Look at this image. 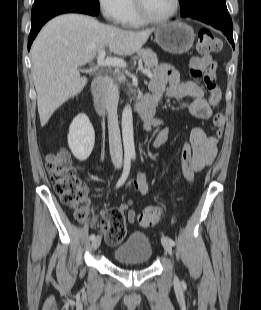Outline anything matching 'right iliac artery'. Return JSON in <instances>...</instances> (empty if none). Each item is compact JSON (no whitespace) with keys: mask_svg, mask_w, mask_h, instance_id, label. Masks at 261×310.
<instances>
[{"mask_svg":"<svg viewBox=\"0 0 261 310\" xmlns=\"http://www.w3.org/2000/svg\"><path fill=\"white\" fill-rule=\"evenodd\" d=\"M130 168H131V157H125L124 158L123 172H122V175L116 184V188H119L120 186H122L125 183L126 179L128 178ZM94 238H95V235L91 234L90 240H93Z\"/></svg>","mask_w":261,"mask_h":310,"instance_id":"right-iliac-artery-1","label":"right iliac artery"}]
</instances>
